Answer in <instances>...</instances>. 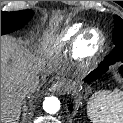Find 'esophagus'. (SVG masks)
<instances>
[{
  "instance_id": "obj_1",
  "label": "esophagus",
  "mask_w": 123,
  "mask_h": 123,
  "mask_svg": "<svg viewBox=\"0 0 123 123\" xmlns=\"http://www.w3.org/2000/svg\"><path fill=\"white\" fill-rule=\"evenodd\" d=\"M49 91L61 94L63 93V84L61 82H55L50 86Z\"/></svg>"
}]
</instances>
